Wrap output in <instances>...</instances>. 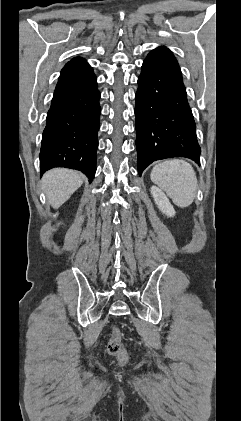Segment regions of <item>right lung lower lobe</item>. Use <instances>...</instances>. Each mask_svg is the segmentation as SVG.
I'll return each instance as SVG.
<instances>
[{"label": "right lung lower lobe", "mask_w": 241, "mask_h": 421, "mask_svg": "<svg viewBox=\"0 0 241 421\" xmlns=\"http://www.w3.org/2000/svg\"><path fill=\"white\" fill-rule=\"evenodd\" d=\"M96 80L82 58L72 59L62 69L43 131L41 174L53 167H66L93 180L101 113Z\"/></svg>", "instance_id": "obj_1"}]
</instances>
